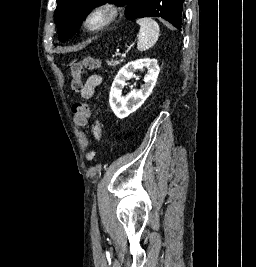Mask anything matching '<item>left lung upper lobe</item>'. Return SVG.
I'll return each instance as SVG.
<instances>
[{
	"label": "left lung upper lobe",
	"instance_id": "left-lung-upper-lobe-1",
	"mask_svg": "<svg viewBox=\"0 0 256 267\" xmlns=\"http://www.w3.org/2000/svg\"><path fill=\"white\" fill-rule=\"evenodd\" d=\"M54 18L60 41H66L80 28L89 10L107 1H121L127 4L128 19L156 16L170 22L175 27V0H56Z\"/></svg>",
	"mask_w": 256,
	"mask_h": 267
}]
</instances>
